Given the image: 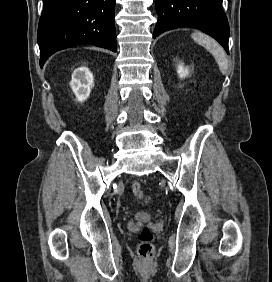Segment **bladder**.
I'll return each mask as SVG.
<instances>
[{
    "label": "bladder",
    "mask_w": 272,
    "mask_h": 282,
    "mask_svg": "<svg viewBox=\"0 0 272 282\" xmlns=\"http://www.w3.org/2000/svg\"><path fill=\"white\" fill-rule=\"evenodd\" d=\"M136 218L142 221H149L151 219V214L146 212H140L136 214Z\"/></svg>",
    "instance_id": "obj_1"
}]
</instances>
